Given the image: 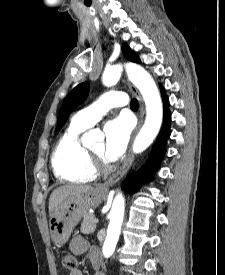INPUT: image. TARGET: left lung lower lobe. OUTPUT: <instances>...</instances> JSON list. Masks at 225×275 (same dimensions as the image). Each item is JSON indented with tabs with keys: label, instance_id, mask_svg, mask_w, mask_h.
<instances>
[{
	"label": "left lung lower lobe",
	"instance_id": "left-lung-lower-lobe-1",
	"mask_svg": "<svg viewBox=\"0 0 225 275\" xmlns=\"http://www.w3.org/2000/svg\"><path fill=\"white\" fill-rule=\"evenodd\" d=\"M162 97L164 101V120L161 131L157 137L156 142L153 145L152 151L149 156V160L141 171L135 176H128L122 184V188L128 192H134L144 181L149 179V175L154 170L158 163L161 161L162 156L165 154V144L170 137V121L171 115L169 112V101L164 94L161 87Z\"/></svg>",
	"mask_w": 225,
	"mask_h": 275
}]
</instances>
